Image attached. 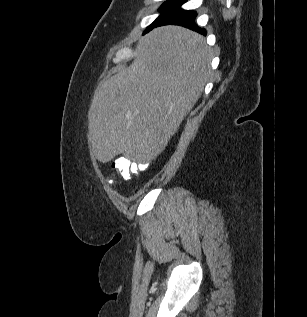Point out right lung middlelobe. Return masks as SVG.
Segmentation results:
<instances>
[{
  "mask_svg": "<svg viewBox=\"0 0 307 317\" xmlns=\"http://www.w3.org/2000/svg\"><path fill=\"white\" fill-rule=\"evenodd\" d=\"M175 2V0H167L166 2L163 3V5L160 7L159 11H160V16L166 11L168 10L172 5L173 3ZM159 16V17H160ZM158 17V18H159ZM157 18V19H158Z\"/></svg>",
  "mask_w": 307,
  "mask_h": 317,
  "instance_id": "obj_1",
  "label": "right lung middle lobe"
}]
</instances>
